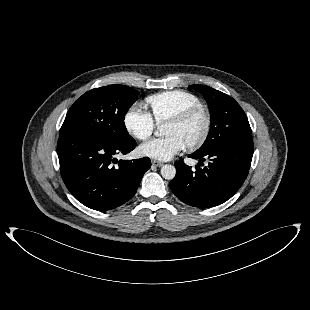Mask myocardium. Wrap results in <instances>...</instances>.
<instances>
[{
	"mask_svg": "<svg viewBox=\"0 0 310 310\" xmlns=\"http://www.w3.org/2000/svg\"><path fill=\"white\" fill-rule=\"evenodd\" d=\"M196 116H202L204 118V129L195 142L185 145L186 148L191 151L202 147L209 138L212 129V116L209 110L202 105L190 107L166 121V123L180 125L188 122Z\"/></svg>",
	"mask_w": 310,
	"mask_h": 310,
	"instance_id": "f54148a6",
	"label": "myocardium"
}]
</instances>
